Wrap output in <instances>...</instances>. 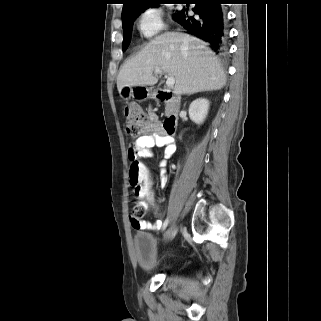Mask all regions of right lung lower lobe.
I'll return each mask as SVG.
<instances>
[{"label": "right lung lower lobe", "mask_w": 321, "mask_h": 321, "mask_svg": "<svg viewBox=\"0 0 321 321\" xmlns=\"http://www.w3.org/2000/svg\"><path fill=\"white\" fill-rule=\"evenodd\" d=\"M226 0H188L187 5L194 3L193 16L188 9L173 14L172 18L192 35L208 42L214 51L220 50L225 42L224 10L221 4Z\"/></svg>", "instance_id": "obj_1"}]
</instances>
